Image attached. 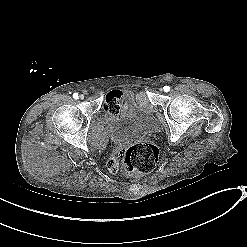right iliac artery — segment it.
Listing matches in <instances>:
<instances>
[{"label": "right iliac artery", "mask_w": 247, "mask_h": 247, "mask_svg": "<svg viewBox=\"0 0 247 247\" xmlns=\"http://www.w3.org/2000/svg\"><path fill=\"white\" fill-rule=\"evenodd\" d=\"M73 97H74L75 99H78V98H79L78 93H74V94H73Z\"/></svg>", "instance_id": "right-iliac-artery-1"}]
</instances>
